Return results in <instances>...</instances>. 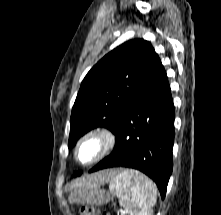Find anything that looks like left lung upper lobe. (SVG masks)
I'll return each instance as SVG.
<instances>
[{
	"label": "left lung upper lobe",
	"instance_id": "5c2ea615",
	"mask_svg": "<svg viewBox=\"0 0 221 215\" xmlns=\"http://www.w3.org/2000/svg\"><path fill=\"white\" fill-rule=\"evenodd\" d=\"M158 58L150 42L134 39L94 65L82 81L72 108L68 147L99 126L114 132L121 111L141 88Z\"/></svg>",
	"mask_w": 221,
	"mask_h": 215
}]
</instances>
